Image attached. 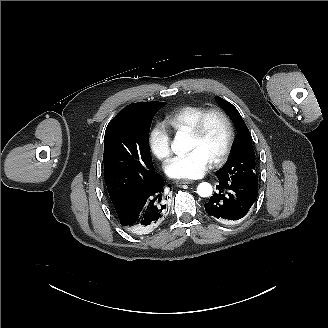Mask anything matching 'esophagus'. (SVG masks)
<instances>
[{
    "instance_id": "34e87169",
    "label": "esophagus",
    "mask_w": 328,
    "mask_h": 328,
    "mask_svg": "<svg viewBox=\"0 0 328 328\" xmlns=\"http://www.w3.org/2000/svg\"><path fill=\"white\" fill-rule=\"evenodd\" d=\"M195 181L192 179H178L176 181L177 184H191L194 183Z\"/></svg>"
}]
</instances>
